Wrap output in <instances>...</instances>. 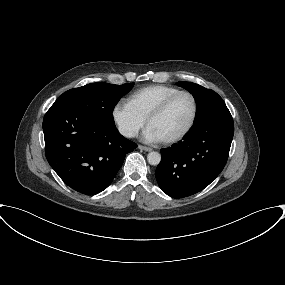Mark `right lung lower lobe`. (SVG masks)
<instances>
[{
  "label": "right lung lower lobe",
  "instance_id": "right-lung-lower-lobe-1",
  "mask_svg": "<svg viewBox=\"0 0 285 285\" xmlns=\"http://www.w3.org/2000/svg\"><path fill=\"white\" fill-rule=\"evenodd\" d=\"M43 131L50 166L66 185L87 195L107 188L125 155L137 147L115 125L63 104H53L48 110Z\"/></svg>",
  "mask_w": 285,
  "mask_h": 285
}]
</instances>
